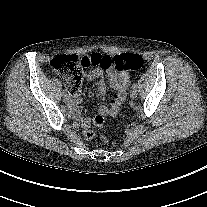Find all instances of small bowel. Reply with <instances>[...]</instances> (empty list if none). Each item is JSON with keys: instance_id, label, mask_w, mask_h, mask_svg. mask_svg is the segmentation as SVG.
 Returning <instances> with one entry per match:
<instances>
[{"instance_id": "small-bowel-1", "label": "small bowel", "mask_w": 207, "mask_h": 207, "mask_svg": "<svg viewBox=\"0 0 207 207\" xmlns=\"http://www.w3.org/2000/svg\"><path fill=\"white\" fill-rule=\"evenodd\" d=\"M106 74L115 93L112 95L111 104L109 106L103 105L99 108L98 115L102 117L115 116L118 113L122 103L126 99L127 89L130 85V76L127 72L117 71L114 68H110L107 70ZM85 77L88 80L95 82L98 91V97L102 99L106 90L103 80V70L101 68H96L90 72H87ZM79 90L69 93L68 97L70 108L75 119L80 122L84 128H88L91 126L92 121L89 118L83 117L81 115V97Z\"/></svg>"}]
</instances>
